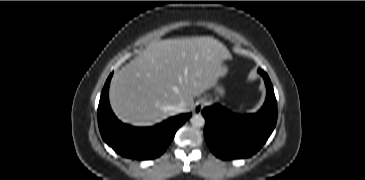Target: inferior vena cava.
Returning <instances> with one entry per match:
<instances>
[{"label": "inferior vena cava", "mask_w": 365, "mask_h": 180, "mask_svg": "<svg viewBox=\"0 0 365 180\" xmlns=\"http://www.w3.org/2000/svg\"><path fill=\"white\" fill-rule=\"evenodd\" d=\"M174 112L176 113H181L185 111V103L184 102H180L179 104H177L174 108H173Z\"/></svg>", "instance_id": "obj_1"}]
</instances>
